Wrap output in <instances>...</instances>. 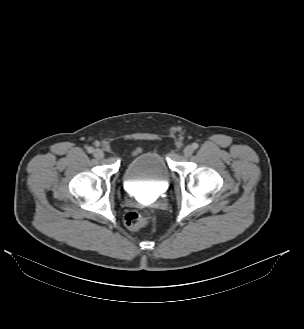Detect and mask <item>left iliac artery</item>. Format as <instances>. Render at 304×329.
<instances>
[{"label":"left iliac artery","instance_id":"1","mask_svg":"<svg viewBox=\"0 0 304 329\" xmlns=\"http://www.w3.org/2000/svg\"><path fill=\"white\" fill-rule=\"evenodd\" d=\"M192 147H193V149H197L199 146H198L197 143H193V144H192Z\"/></svg>","mask_w":304,"mask_h":329}]
</instances>
